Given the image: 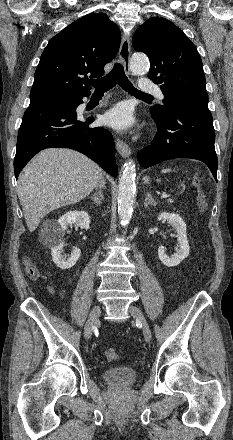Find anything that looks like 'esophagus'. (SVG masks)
<instances>
[{"label":"esophagus","mask_w":233,"mask_h":440,"mask_svg":"<svg viewBox=\"0 0 233 440\" xmlns=\"http://www.w3.org/2000/svg\"><path fill=\"white\" fill-rule=\"evenodd\" d=\"M130 50H131L130 37L127 35L123 36L119 50V60L120 63L124 66L125 71L127 72L129 71ZM116 148L118 153L123 158H126L131 154L130 147L119 138L117 139L116 142Z\"/></svg>","instance_id":"34e87169"}]
</instances>
